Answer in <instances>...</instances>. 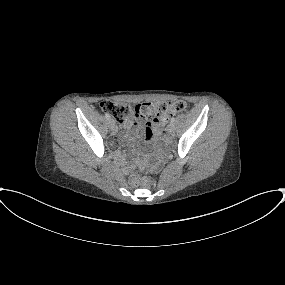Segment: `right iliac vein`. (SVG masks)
I'll return each mask as SVG.
<instances>
[{"label": "right iliac vein", "mask_w": 285, "mask_h": 285, "mask_svg": "<svg viewBox=\"0 0 285 285\" xmlns=\"http://www.w3.org/2000/svg\"><path fill=\"white\" fill-rule=\"evenodd\" d=\"M108 126H109V129L113 132L116 131V129H117L115 122L112 119L108 120Z\"/></svg>", "instance_id": "1"}]
</instances>
